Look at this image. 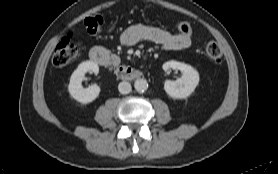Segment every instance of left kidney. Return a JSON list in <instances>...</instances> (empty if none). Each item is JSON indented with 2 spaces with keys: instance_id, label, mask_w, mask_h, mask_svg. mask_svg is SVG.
Listing matches in <instances>:
<instances>
[{
  "instance_id": "left-kidney-1",
  "label": "left kidney",
  "mask_w": 278,
  "mask_h": 174,
  "mask_svg": "<svg viewBox=\"0 0 278 174\" xmlns=\"http://www.w3.org/2000/svg\"><path fill=\"white\" fill-rule=\"evenodd\" d=\"M163 70L177 69L182 72V77L176 81L166 80L165 92L173 99H185L190 96L199 84V73L190 65L174 60L165 62Z\"/></svg>"
}]
</instances>
